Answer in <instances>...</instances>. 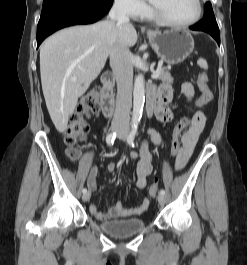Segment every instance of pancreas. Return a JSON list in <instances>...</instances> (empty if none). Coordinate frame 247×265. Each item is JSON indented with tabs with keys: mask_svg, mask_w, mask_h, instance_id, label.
<instances>
[{
	"mask_svg": "<svg viewBox=\"0 0 247 265\" xmlns=\"http://www.w3.org/2000/svg\"><path fill=\"white\" fill-rule=\"evenodd\" d=\"M157 72L159 73L158 79L172 83L173 77L171 76L167 67H160Z\"/></svg>",
	"mask_w": 247,
	"mask_h": 265,
	"instance_id": "cf45deb5",
	"label": "pancreas"
}]
</instances>
